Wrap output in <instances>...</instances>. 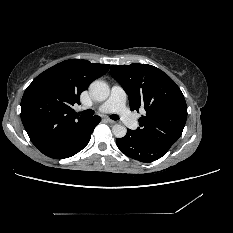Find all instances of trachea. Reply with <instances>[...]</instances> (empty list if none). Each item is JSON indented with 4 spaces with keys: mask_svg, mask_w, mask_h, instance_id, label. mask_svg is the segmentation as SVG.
I'll use <instances>...</instances> for the list:
<instances>
[{
    "mask_svg": "<svg viewBox=\"0 0 233 233\" xmlns=\"http://www.w3.org/2000/svg\"><path fill=\"white\" fill-rule=\"evenodd\" d=\"M79 113L82 114L85 117H91V116H93L94 111L91 110V109H88V110H85V111H82V112H79ZM110 118L112 120H119V117L116 114L110 115Z\"/></svg>",
    "mask_w": 233,
    "mask_h": 233,
    "instance_id": "1",
    "label": "trachea"
}]
</instances>
